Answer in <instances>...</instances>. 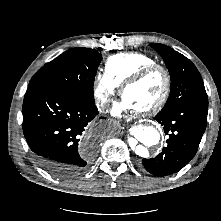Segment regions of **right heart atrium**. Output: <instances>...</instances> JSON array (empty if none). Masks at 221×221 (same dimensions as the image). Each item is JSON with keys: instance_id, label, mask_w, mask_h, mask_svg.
<instances>
[{"instance_id": "right-heart-atrium-1", "label": "right heart atrium", "mask_w": 221, "mask_h": 221, "mask_svg": "<svg viewBox=\"0 0 221 221\" xmlns=\"http://www.w3.org/2000/svg\"><path fill=\"white\" fill-rule=\"evenodd\" d=\"M118 89L119 85L106 72H99L94 84V97L97 107L105 111Z\"/></svg>"}]
</instances>
